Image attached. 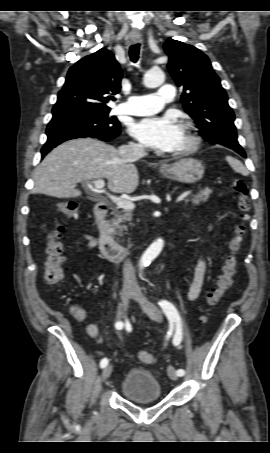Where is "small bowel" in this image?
<instances>
[{"instance_id":"1","label":"small bowel","mask_w":270,"mask_h":453,"mask_svg":"<svg viewBox=\"0 0 270 453\" xmlns=\"http://www.w3.org/2000/svg\"><path fill=\"white\" fill-rule=\"evenodd\" d=\"M84 238L87 240V243L84 246V250H91L92 248H94L96 246V239L93 236L85 234ZM205 270H206L205 260L203 258H200L195 267L193 280H192V283L189 288V292H188L189 300H195L199 296V294L201 292V288H202ZM78 309L81 311V315L78 316L77 318L80 320H83L84 312L81 308H78ZM87 331H88L89 335L93 338L97 337V335H98L97 326L93 323H89L87 325Z\"/></svg>"}]
</instances>
